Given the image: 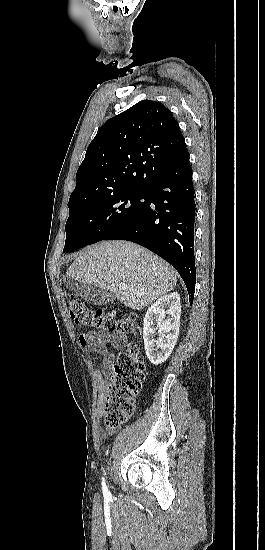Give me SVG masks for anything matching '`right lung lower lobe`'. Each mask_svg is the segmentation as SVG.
Here are the masks:
<instances>
[{"mask_svg": "<svg viewBox=\"0 0 265 550\" xmlns=\"http://www.w3.org/2000/svg\"><path fill=\"white\" fill-rule=\"evenodd\" d=\"M194 193L186 149L152 181L145 209L104 239L132 241L168 261L184 280L190 303L196 283Z\"/></svg>", "mask_w": 265, "mask_h": 550, "instance_id": "obj_1", "label": "right lung lower lobe"}]
</instances>
